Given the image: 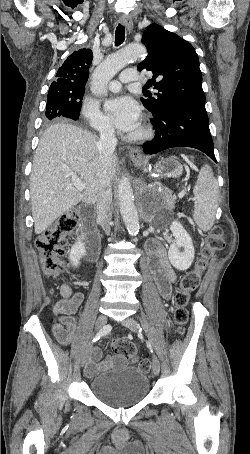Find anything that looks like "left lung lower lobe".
Instances as JSON below:
<instances>
[{
	"mask_svg": "<svg viewBox=\"0 0 250 454\" xmlns=\"http://www.w3.org/2000/svg\"><path fill=\"white\" fill-rule=\"evenodd\" d=\"M151 123L156 135L152 141L144 143L145 154H155L172 147H192L217 162L205 104L169 107L154 116Z\"/></svg>",
	"mask_w": 250,
	"mask_h": 454,
	"instance_id": "0a47b994",
	"label": "left lung lower lobe"
}]
</instances>
